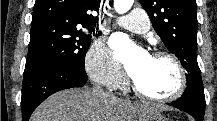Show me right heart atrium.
I'll return each mask as SVG.
<instances>
[{"label": "right heart atrium", "instance_id": "obj_1", "mask_svg": "<svg viewBox=\"0 0 217 121\" xmlns=\"http://www.w3.org/2000/svg\"><path fill=\"white\" fill-rule=\"evenodd\" d=\"M85 69L91 80L100 86L115 89L124 81L119 65L112 58L109 49L101 43L87 52Z\"/></svg>", "mask_w": 217, "mask_h": 121}]
</instances>
